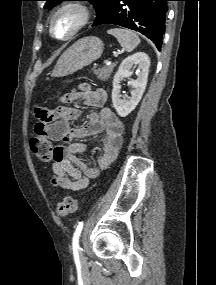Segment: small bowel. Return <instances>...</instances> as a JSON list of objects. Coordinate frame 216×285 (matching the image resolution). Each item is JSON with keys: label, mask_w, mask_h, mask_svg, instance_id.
<instances>
[{"label": "small bowel", "mask_w": 216, "mask_h": 285, "mask_svg": "<svg viewBox=\"0 0 216 285\" xmlns=\"http://www.w3.org/2000/svg\"><path fill=\"white\" fill-rule=\"evenodd\" d=\"M65 100L85 103L98 108V111L89 114L88 122L83 127H71L80 115L77 108L62 107L56 111L39 108L36 110L38 122L34 133L60 142L55 148L52 183L63 189L78 191L86 188L90 180L98 176L100 169L107 168L116 159L122 146L123 124L106 105L107 94L103 89L92 90L82 85L69 93ZM98 134H102L101 154L97 166H90L77 156L85 152L86 145L72 140Z\"/></svg>", "instance_id": "1"}]
</instances>
